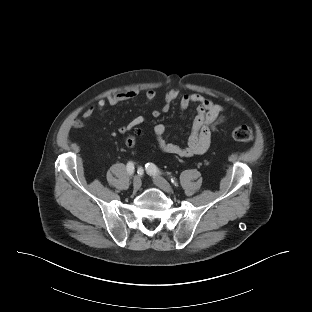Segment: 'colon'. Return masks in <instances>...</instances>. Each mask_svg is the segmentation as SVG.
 <instances>
[{"instance_id": "obj_1", "label": "colon", "mask_w": 312, "mask_h": 312, "mask_svg": "<svg viewBox=\"0 0 312 312\" xmlns=\"http://www.w3.org/2000/svg\"><path fill=\"white\" fill-rule=\"evenodd\" d=\"M75 125H79V122L76 121ZM232 136L237 141L249 142L254 138L253 130L246 125H240L233 129ZM128 147H133L136 143V134L129 135L125 141Z\"/></svg>"}]
</instances>
